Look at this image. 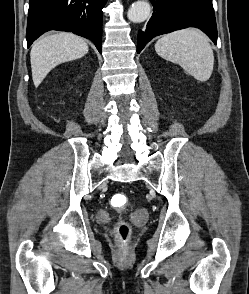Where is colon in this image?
I'll use <instances>...</instances> for the list:
<instances>
[{
  "label": "colon",
  "instance_id": "5ec220e1",
  "mask_svg": "<svg viewBox=\"0 0 249 294\" xmlns=\"http://www.w3.org/2000/svg\"><path fill=\"white\" fill-rule=\"evenodd\" d=\"M112 200L117 207L125 206L129 201L125 194H116L113 196ZM116 235L120 242H127L131 235V226L127 222L119 223L116 227Z\"/></svg>",
  "mask_w": 249,
  "mask_h": 294
}]
</instances>
